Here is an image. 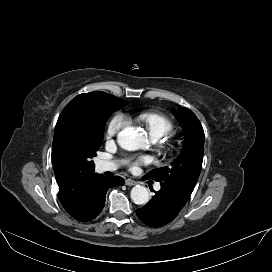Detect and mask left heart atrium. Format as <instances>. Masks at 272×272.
<instances>
[{"mask_svg":"<svg viewBox=\"0 0 272 272\" xmlns=\"http://www.w3.org/2000/svg\"><path fill=\"white\" fill-rule=\"evenodd\" d=\"M151 161V159L149 157H143L141 159H139L138 161H136L133 164V167L136 168L139 164H147Z\"/></svg>","mask_w":272,"mask_h":272,"instance_id":"1","label":"left heart atrium"}]
</instances>
